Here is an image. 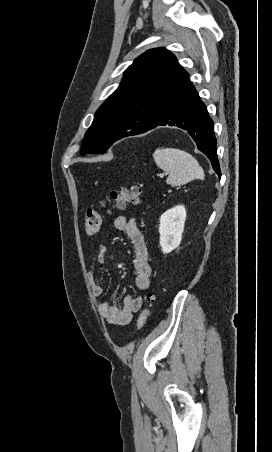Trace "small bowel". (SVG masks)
Listing matches in <instances>:
<instances>
[{"mask_svg":"<svg viewBox=\"0 0 272 452\" xmlns=\"http://www.w3.org/2000/svg\"><path fill=\"white\" fill-rule=\"evenodd\" d=\"M114 225L117 230L125 232L132 243L134 252V283L137 289L145 290L150 285L151 267L144 236L133 217L119 215L115 218ZM106 250V245L100 243L93 250L92 255L99 263L105 264ZM89 282L94 296L97 298L102 297L105 290L103 286L98 284L94 272L89 273ZM142 303L143 300L140 296L133 295H126L121 306L104 300L99 304V313L105 321L124 326L130 323L133 314L141 308Z\"/></svg>","mask_w":272,"mask_h":452,"instance_id":"c3829d8e","label":"small bowel"}]
</instances>
